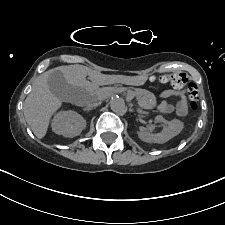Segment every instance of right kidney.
Returning <instances> with one entry per match:
<instances>
[{"mask_svg": "<svg viewBox=\"0 0 225 225\" xmlns=\"http://www.w3.org/2000/svg\"><path fill=\"white\" fill-rule=\"evenodd\" d=\"M51 126L56 134L75 137L86 127V120L75 111H60L54 116Z\"/></svg>", "mask_w": 225, "mask_h": 225, "instance_id": "ca27d5eb", "label": "right kidney"}]
</instances>
